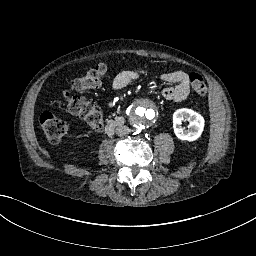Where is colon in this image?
Masks as SVG:
<instances>
[{
  "instance_id": "obj_1",
  "label": "colon",
  "mask_w": 256,
  "mask_h": 256,
  "mask_svg": "<svg viewBox=\"0 0 256 256\" xmlns=\"http://www.w3.org/2000/svg\"><path fill=\"white\" fill-rule=\"evenodd\" d=\"M107 75L105 64H97L88 72L74 79L73 89L77 92H86L98 88ZM193 92L203 96L207 92V85L203 76L197 72L188 75ZM68 111L82 120V125L90 130H99L102 127V116L91 101L77 96L68 95L65 99ZM40 122L48 140L60 143L66 136L69 124L66 120L45 112L41 115Z\"/></svg>"
}]
</instances>
